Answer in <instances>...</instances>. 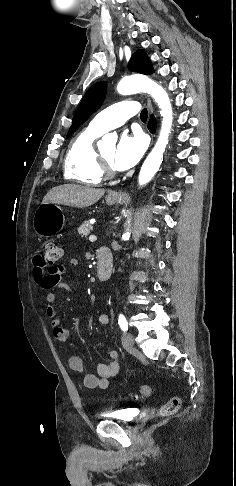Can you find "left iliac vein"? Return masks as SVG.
<instances>
[{"instance_id": "1", "label": "left iliac vein", "mask_w": 236, "mask_h": 486, "mask_svg": "<svg viewBox=\"0 0 236 486\" xmlns=\"http://www.w3.org/2000/svg\"><path fill=\"white\" fill-rule=\"evenodd\" d=\"M122 344L127 350H131L134 347V336L129 332H124L122 334Z\"/></svg>"}]
</instances>
